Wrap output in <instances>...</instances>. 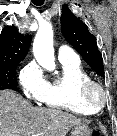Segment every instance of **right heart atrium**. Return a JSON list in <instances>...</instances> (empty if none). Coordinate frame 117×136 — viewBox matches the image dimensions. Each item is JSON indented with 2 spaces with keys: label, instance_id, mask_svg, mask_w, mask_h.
<instances>
[{
  "label": "right heart atrium",
  "instance_id": "d8ad5b80",
  "mask_svg": "<svg viewBox=\"0 0 117 136\" xmlns=\"http://www.w3.org/2000/svg\"><path fill=\"white\" fill-rule=\"evenodd\" d=\"M19 82L27 98L42 102L48 82L35 63L31 62L21 69Z\"/></svg>",
  "mask_w": 117,
  "mask_h": 136
}]
</instances>
